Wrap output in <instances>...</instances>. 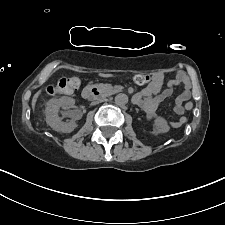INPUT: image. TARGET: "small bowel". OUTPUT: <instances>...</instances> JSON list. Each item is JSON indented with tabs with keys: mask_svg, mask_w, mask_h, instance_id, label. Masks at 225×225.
<instances>
[{
	"mask_svg": "<svg viewBox=\"0 0 225 225\" xmlns=\"http://www.w3.org/2000/svg\"><path fill=\"white\" fill-rule=\"evenodd\" d=\"M177 86H183V90L176 99L174 112L177 115H183V104L190 97L192 84L189 77L182 71H178L175 78L168 82H165V77L162 73L156 74L153 82L135 96V102L144 110L147 120L151 121L154 119L155 111L159 104L164 99L170 97ZM183 118L185 117H180V119ZM180 119L171 122L170 126L173 128L178 127Z\"/></svg>",
	"mask_w": 225,
	"mask_h": 225,
	"instance_id": "obj_1",
	"label": "small bowel"
}]
</instances>
